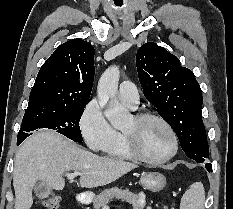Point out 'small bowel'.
Here are the masks:
<instances>
[{
    "label": "small bowel",
    "instance_id": "1",
    "mask_svg": "<svg viewBox=\"0 0 233 209\" xmlns=\"http://www.w3.org/2000/svg\"><path fill=\"white\" fill-rule=\"evenodd\" d=\"M144 209H153L152 207H150V206H147V207H145Z\"/></svg>",
    "mask_w": 233,
    "mask_h": 209
}]
</instances>
